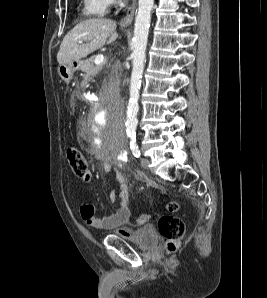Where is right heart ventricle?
I'll return each instance as SVG.
<instances>
[{"label":"right heart ventricle","mask_w":267,"mask_h":298,"mask_svg":"<svg viewBox=\"0 0 267 298\" xmlns=\"http://www.w3.org/2000/svg\"><path fill=\"white\" fill-rule=\"evenodd\" d=\"M105 0H82V14L88 18H100L106 12Z\"/></svg>","instance_id":"1"}]
</instances>
